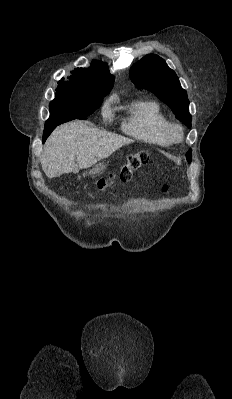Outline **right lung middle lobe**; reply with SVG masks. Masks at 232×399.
<instances>
[{"label": "right lung middle lobe", "instance_id": "obj_1", "mask_svg": "<svg viewBox=\"0 0 232 399\" xmlns=\"http://www.w3.org/2000/svg\"><path fill=\"white\" fill-rule=\"evenodd\" d=\"M107 94H66L56 92L55 99L50 102V112L54 115H67L76 118L90 116L101 106Z\"/></svg>", "mask_w": 232, "mask_h": 399}]
</instances>
